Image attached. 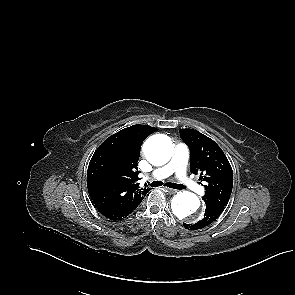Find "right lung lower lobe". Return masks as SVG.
I'll list each match as a JSON object with an SVG mask.
<instances>
[{
  "label": "right lung lower lobe",
  "instance_id": "right-lung-lower-lobe-1",
  "mask_svg": "<svg viewBox=\"0 0 295 295\" xmlns=\"http://www.w3.org/2000/svg\"><path fill=\"white\" fill-rule=\"evenodd\" d=\"M141 201H139L131 206L120 208V209H108V208H104V207H97V209L99 210V212L102 215H104L108 219L121 220V219L127 217L133 210H135L138 207V205L141 203Z\"/></svg>",
  "mask_w": 295,
  "mask_h": 295
}]
</instances>
